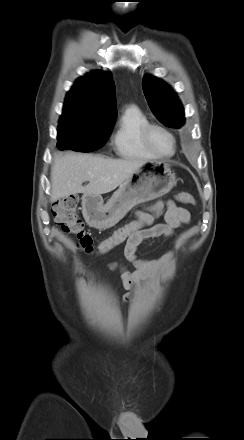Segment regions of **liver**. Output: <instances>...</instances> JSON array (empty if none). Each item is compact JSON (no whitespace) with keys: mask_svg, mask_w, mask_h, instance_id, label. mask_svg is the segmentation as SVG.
Here are the masks:
<instances>
[{"mask_svg":"<svg viewBox=\"0 0 244 440\" xmlns=\"http://www.w3.org/2000/svg\"><path fill=\"white\" fill-rule=\"evenodd\" d=\"M144 163V160L110 159L84 153L58 156L51 169V199L78 193L83 196L109 193L121 186ZM85 181L89 184L83 186Z\"/></svg>","mask_w":244,"mask_h":440,"instance_id":"obj_1","label":"liver"}]
</instances>
